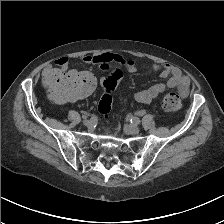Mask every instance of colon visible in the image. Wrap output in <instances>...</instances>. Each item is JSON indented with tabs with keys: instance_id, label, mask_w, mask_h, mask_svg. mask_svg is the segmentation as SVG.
Instances as JSON below:
<instances>
[{
	"instance_id": "colon-1",
	"label": "colon",
	"mask_w": 224,
	"mask_h": 224,
	"mask_svg": "<svg viewBox=\"0 0 224 224\" xmlns=\"http://www.w3.org/2000/svg\"><path fill=\"white\" fill-rule=\"evenodd\" d=\"M122 78L120 70H115L103 81L104 93L98 104V111L107 117L112 109L114 92L117 84ZM52 94L57 99L76 101L93 93L96 81L93 75L87 72L73 73L65 76L50 75L47 80ZM162 107L171 112L179 111L182 108V100L176 93H168L162 99Z\"/></svg>"
}]
</instances>
